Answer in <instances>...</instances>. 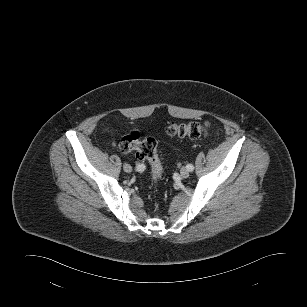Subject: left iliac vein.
<instances>
[{
  "mask_svg": "<svg viewBox=\"0 0 307 307\" xmlns=\"http://www.w3.org/2000/svg\"><path fill=\"white\" fill-rule=\"evenodd\" d=\"M190 174V171L187 169V167H182L180 170V175L182 178H188Z\"/></svg>",
  "mask_w": 307,
  "mask_h": 307,
  "instance_id": "1",
  "label": "left iliac vein"
}]
</instances>
